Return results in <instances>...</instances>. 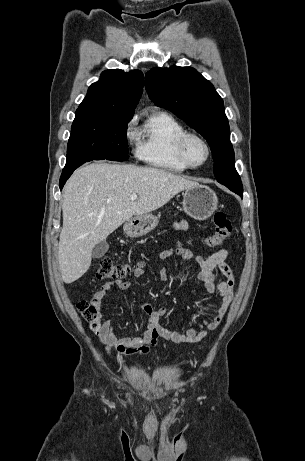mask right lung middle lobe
Returning a JSON list of instances; mask_svg holds the SVG:
<instances>
[{
	"instance_id": "right-lung-middle-lobe-1",
	"label": "right lung middle lobe",
	"mask_w": 305,
	"mask_h": 461,
	"mask_svg": "<svg viewBox=\"0 0 305 461\" xmlns=\"http://www.w3.org/2000/svg\"><path fill=\"white\" fill-rule=\"evenodd\" d=\"M131 118L76 112L67 147L65 168L91 160L128 159L126 129Z\"/></svg>"
}]
</instances>
